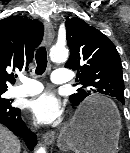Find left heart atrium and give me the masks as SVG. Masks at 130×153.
I'll list each match as a JSON object with an SVG mask.
<instances>
[{
	"instance_id": "obj_1",
	"label": "left heart atrium",
	"mask_w": 130,
	"mask_h": 153,
	"mask_svg": "<svg viewBox=\"0 0 130 153\" xmlns=\"http://www.w3.org/2000/svg\"><path fill=\"white\" fill-rule=\"evenodd\" d=\"M28 110L40 123L49 124L62 114V105L51 92H45L28 103Z\"/></svg>"
}]
</instances>
